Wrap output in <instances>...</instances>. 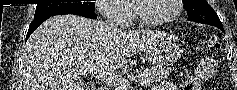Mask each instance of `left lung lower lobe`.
Returning <instances> with one entry per match:
<instances>
[{"label":"left lung lower lobe","mask_w":237,"mask_h":90,"mask_svg":"<svg viewBox=\"0 0 237 90\" xmlns=\"http://www.w3.org/2000/svg\"><path fill=\"white\" fill-rule=\"evenodd\" d=\"M219 29H221L223 32H224V29H223V27L222 28H220V27H218Z\"/></svg>","instance_id":"0a47b994"}]
</instances>
